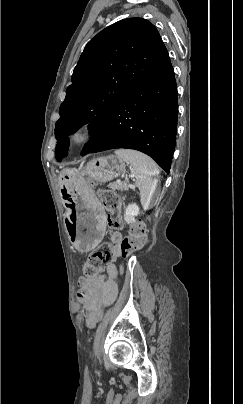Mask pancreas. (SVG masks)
Masks as SVG:
<instances>
[{
  "instance_id": "pancreas-1",
  "label": "pancreas",
  "mask_w": 243,
  "mask_h": 404,
  "mask_svg": "<svg viewBox=\"0 0 243 404\" xmlns=\"http://www.w3.org/2000/svg\"><path fill=\"white\" fill-rule=\"evenodd\" d=\"M109 188L112 190H120V192H127L129 190L127 184H121V182H114V184H109Z\"/></svg>"
}]
</instances>
